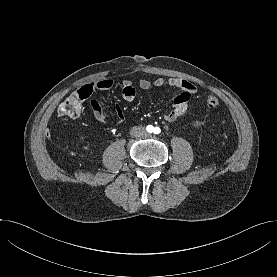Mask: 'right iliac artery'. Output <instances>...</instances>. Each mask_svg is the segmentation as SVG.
<instances>
[{"label": "right iliac artery", "instance_id": "82829eb1", "mask_svg": "<svg viewBox=\"0 0 277 277\" xmlns=\"http://www.w3.org/2000/svg\"><path fill=\"white\" fill-rule=\"evenodd\" d=\"M146 130H147L149 133H151V132L154 130V128H153L152 125H148L147 128H146Z\"/></svg>", "mask_w": 277, "mask_h": 277}]
</instances>
